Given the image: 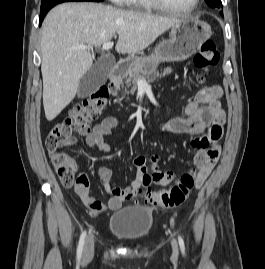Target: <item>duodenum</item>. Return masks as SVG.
Segmentation results:
<instances>
[{
  "instance_id": "410a0bca",
  "label": "duodenum",
  "mask_w": 265,
  "mask_h": 269,
  "mask_svg": "<svg viewBox=\"0 0 265 269\" xmlns=\"http://www.w3.org/2000/svg\"><path fill=\"white\" fill-rule=\"evenodd\" d=\"M124 67L122 62L116 63L110 70L111 85H115L123 77Z\"/></svg>"
}]
</instances>
